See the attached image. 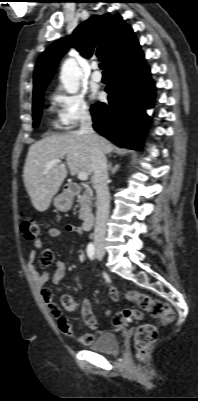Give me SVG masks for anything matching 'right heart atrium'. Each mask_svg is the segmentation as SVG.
I'll use <instances>...</instances> for the list:
<instances>
[{"label":"right heart atrium","mask_w":198,"mask_h":401,"mask_svg":"<svg viewBox=\"0 0 198 401\" xmlns=\"http://www.w3.org/2000/svg\"><path fill=\"white\" fill-rule=\"evenodd\" d=\"M51 98L56 106L57 125L62 129H73L91 116L90 105L80 94L57 88Z\"/></svg>","instance_id":"obj_1"}]
</instances>
